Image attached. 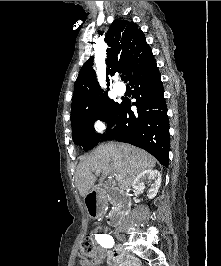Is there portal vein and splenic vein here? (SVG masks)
I'll return each instance as SVG.
<instances>
[{
  "label": "portal vein and splenic vein",
  "mask_w": 221,
  "mask_h": 266,
  "mask_svg": "<svg viewBox=\"0 0 221 266\" xmlns=\"http://www.w3.org/2000/svg\"><path fill=\"white\" fill-rule=\"evenodd\" d=\"M101 171L98 169V170H96V173H100ZM115 177H116V179L117 180H120L121 179V175H115Z\"/></svg>",
  "instance_id": "portal-vein-and-splenic-vein-1"
}]
</instances>
